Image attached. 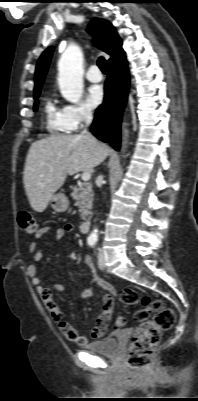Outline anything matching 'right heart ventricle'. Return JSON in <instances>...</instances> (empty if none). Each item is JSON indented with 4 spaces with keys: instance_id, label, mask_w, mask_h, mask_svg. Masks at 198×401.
I'll return each instance as SVG.
<instances>
[{
    "instance_id": "obj_1",
    "label": "right heart ventricle",
    "mask_w": 198,
    "mask_h": 401,
    "mask_svg": "<svg viewBox=\"0 0 198 401\" xmlns=\"http://www.w3.org/2000/svg\"><path fill=\"white\" fill-rule=\"evenodd\" d=\"M44 113L47 129L52 133L67 134L71 129L67 125L62 109L58 108L52 99H47L44 104Z\"/></svg>"
}]
</instances>
